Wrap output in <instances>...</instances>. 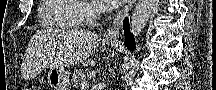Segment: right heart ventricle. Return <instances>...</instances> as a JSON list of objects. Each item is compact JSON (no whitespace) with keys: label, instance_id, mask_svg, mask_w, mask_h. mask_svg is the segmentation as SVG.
Masks as SVG:
<instances>
[{"label":"right heart ventricle","instance_id":"e07e8e85","mask_svg":"<svg viewBox=\"0 0 216 90\" xmlns=\"http://www.w3.org/2000/svg\"><path fill=\"white\" fill-rule=\"evenodd\" d=\"M39 19L42 21V28H87L84 19H74V15H82V4L77 0H42ZM50 63V62H45ZM48 68V67H43Z\"/></svg>","mask_w":216,"mask_h":90}]
</instances>
